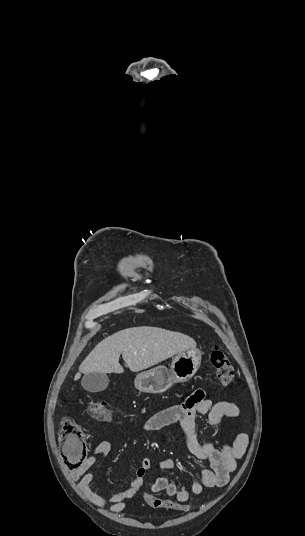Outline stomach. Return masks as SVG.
Listing matches in <instances>:
<instances>
[{
    "label": "stomach",
    "instance_id": "obj_1",
    "mask_svg": "<svg viewBox=\"0 0 305 536\" xmlns=\"http://www.w3.org/2000/svg\"><path fill=\"white\" fill-rule=\"evenodd\" d=\"M202 354L198 348L179 352L172 360L170 370L165 366H158L148 372H141L134 380L136 390L147 394H162L169 390L173 384L188 382L199 370Z\"/></svg>",
    "mask_w": 305,
    "mask_h": 536
}]
</instances>
